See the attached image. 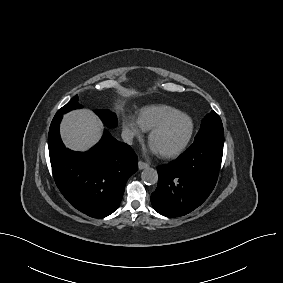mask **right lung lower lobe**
Segmentation results:
<instances>
[{"label":"right lung lower lobe","instance_id":"obj_1","mask_svg":"<svg viewBox=\"0 0 283 283\" xmlns=\"http://www.w3.org/2000/svg\"><path fill=\"white\" fill-rule=\"evenodd\" d=\"M62 116H54L48 135L55 183L77 210L90 217L104 218L118 208L126 181L138 170L137 157L127 144L107 131L88 152L69 150L59 134Z\"/></svg>","mask_w":283,"mask_h":283}]
</instances>
